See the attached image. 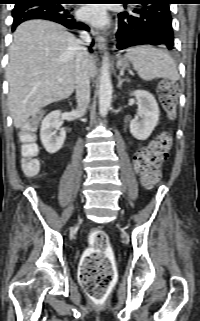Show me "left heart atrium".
<instances>
[{"mask_svg":"<svg viewBox=\"0 0 200 321\" xmlns=\"http://www.w3.org/2000/svg\"><path fill=\"white\" fill-rule=\"evenodd\" d=\"M80 16L85 21L101 25L106 21V13L102 6H88L80 11Z\"/></svg>","mask_w":200,"mask_h":321,"instance_id":"left-heart-atrium-1","label":"left heart atrium"}]
</instances>
